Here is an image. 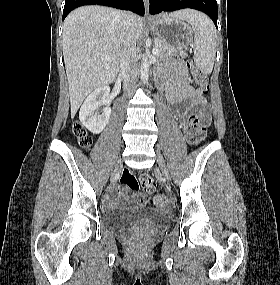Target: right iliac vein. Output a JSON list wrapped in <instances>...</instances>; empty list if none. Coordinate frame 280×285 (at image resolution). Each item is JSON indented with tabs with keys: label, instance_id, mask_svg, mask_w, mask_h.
I'll use <instances>...</instances> for the list:
<instances>
[{
	"label": "right iliac vein",
	"instance_id": "63e3f726",
	"mask_svg": "<svg viewBox=\"0 0 280 285\" xmlns=\"http://www.w3.org/2000/svg\"><path fill=\"white\" fill-rule=\"evenodd\" d=\"M121 161H118V163L116 164V167H115V171H118L119 169H121Z\"/></svg>",
	"mask_w": 280,
	"mask_h": 285
}]
</instances>
